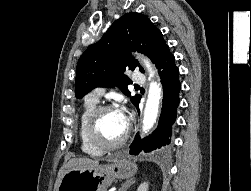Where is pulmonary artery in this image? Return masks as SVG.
I'll return each mask as SVG.
<instances>
[{
  "label": "pulmonary artery",
  "instance_id": "pulmonary-artery-1",
  "mask_svg": "<svg viewBox=\"0 0 251 191\" xmlns=\"http://www.w3.org/2000/svg\"><path fill=\"white\" fill-rule=\"evenodd\" d=\"M132 80L133 82H141L140 84L142 85V82H145V73H138V68H133V73H132ZM99 95L103 93V90H100ZM85 99H98V96L94 95H88L85 97Z\"/></svg>",
  "mask_w": 251,
  "mask_h": 191
}]
</instances>
